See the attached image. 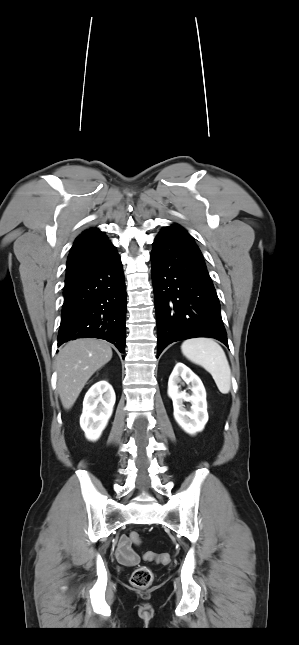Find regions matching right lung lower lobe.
I'll use <instances>...</instances> for the list:
<instances>
[{"label":"right lung lower lobe","instance_id":"right-lung-lower-lobe-1","mask_svg":"<svg viewBox=\"0 0 299 645\" xmlns=\"http://www.w3.org/2000/svg\"><path fill=\"white\" fill-rule=\"evenodd\" d=\"M58 346L77 338H100L125 351L126 289L115 255L65 281Z\"/></svg>","mask_w":299,"mask_h":645}]
</instances>
